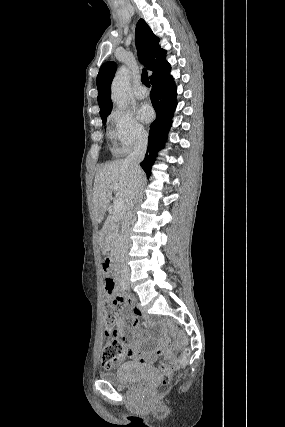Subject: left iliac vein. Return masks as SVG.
<instances>
[{"instance_id": "left-iliac-vein-1", "label": "left iliac vein", "mask_w": 285, "mask_h": 427, "mask_svg": "<svg viewBox=\"0 0 285 427\" xmlns=\"http://www.w3.org/2000/svg\"><path fill=\"white\" fill-rule=\"evenodd\" d=\"M127 287H128V289H130V285H129V283H128V286H127Z\"/></svg>"}]
</instances>
